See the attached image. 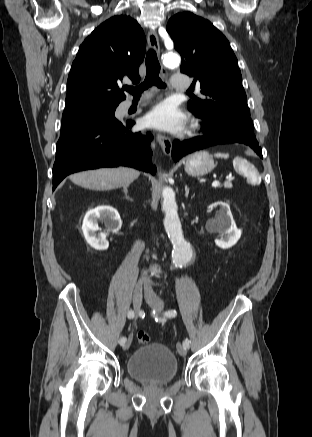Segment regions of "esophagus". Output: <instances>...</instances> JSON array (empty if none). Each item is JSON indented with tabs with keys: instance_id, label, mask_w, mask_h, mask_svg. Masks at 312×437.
<instances>
[{
	"instance_id": "1",
	"label": "esophagus",
	"mask_w": 312,
	"mask_h": 437,
	"mask_svg": "<svg viewBox=\"0 0 312 437\" xmlns=\"http://www.w3.org/2000/svg\"><path fill=\"white\" fill-rule=\"evenodd\" d=\"M147 39H148L149 46L157 54H159V51H160L159 40H158V36H157V34H156V32L154 30H150L148 32ZM162 73L166 74V70L162 69ZM156 138L159 141L164 154L167 155V156H170L171 152H172V142H171V139L169 137H166V136L162 135V134H157Z\"/></svg>"
}]
</instances>
